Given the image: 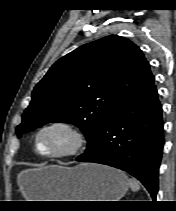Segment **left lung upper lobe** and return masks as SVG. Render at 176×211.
<instances>
[{
	"label": "left lung upper lobe",
	"instance_id": "obj_1",
	"mask_svg": "<svg viewBox=\"0 0 176 211\" xmlns=\"http://www.w3.org/2000/svg\"><path fill=\"white\" fill-rule=\"evenodd\" d=\"M153 84L148 62L130 40L112 35L82 45L35 86L17 136L49 122L72 123L86 136L87 151L110 115Z\"/></svg>",
	"mask_w": 176,
	"mask_h": 211
}]
</instances>
